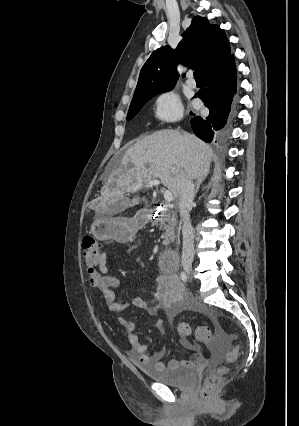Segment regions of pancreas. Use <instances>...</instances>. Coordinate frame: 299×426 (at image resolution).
I'll use <instances>...</instances> for the list:
<instances>
[{
	"label": "pancreas",
	"instance_id": "1",
	"mask_svg": "<svg viewBox=\"0 0 299 426\" xmlns=\"http://www.w3.org/2000/svg\"><path fill=\"white\" fill-rule=\"evenodd\" d=\"M154 224L159 225L163 229V243L169 244L175 238V226L177 224L176 214L173 210L166 208L162 210L154 221Z\"/></svg>",
	"mask_w": 299,
	"mask_h": 426
}]
</instances>
